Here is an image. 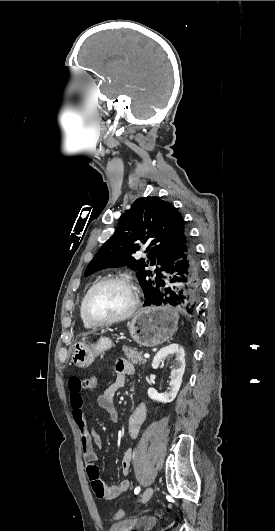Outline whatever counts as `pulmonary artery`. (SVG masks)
Wrapping results in <instances>:
<instances>
[{"instance_id": "e3ab8cb5", "label": "pulmonary artery", "mask_w": 275, "mask_h": 531, "mask_svg": "<svg viewBox=\"0 0 275 531\" xmlns=\"http://www.w3.org/2000/svg\"><path fill=\"white\" fill-rule=\"evenodd\" d=\"M156 266H157L158 268H161V267L163 266V263H162L161 261H158V262L156 263ZM161 271H164V268H161Z\"/></svg>"}]
</instances>
